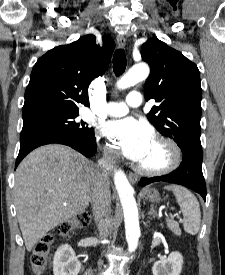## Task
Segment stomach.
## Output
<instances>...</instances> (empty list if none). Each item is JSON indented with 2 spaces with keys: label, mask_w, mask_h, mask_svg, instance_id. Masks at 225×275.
Returning a JSON list of instances; mask_svg holds the SVG:
<instances>
[{
  "label": "stomach",
  "mask_w": 225,
  "mask_h": 275,
  "mask_svg": "<svg viewBox=\"0 0 225 275\" xmlns=\"http://www.w3.org/2000/svg\"><path fill=\"white\" fill-rule=\"evenodd\" d=\"M147 199L151 202H159L160 196L157 190L150 189L147 191Z\"/></svg>",
  "instance_id": "stomach-1"
}]
</instances>
